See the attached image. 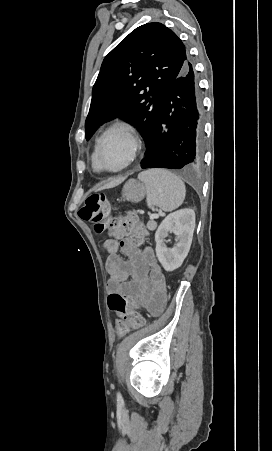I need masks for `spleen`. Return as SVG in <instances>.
Listing matches in <instances>:
<instances>
[{
	"label": "spleen",
	"mask_w": 272,
	"mask_h": 451,
	"mask_svg": "<svg viewBox=\"0 0 272 451\" xmlns=\"http://www.w3.org/2000/svg\"><path fill=\"white\" fill-rule=\"evenodd\" d=\"M147 192V206H158L164 212H172L183 204L186 196L184 182L163 168H153L138 174Z\"/></svg>",
	"instance_id": "obj_1"
}]
</instances>
